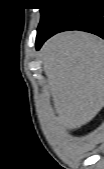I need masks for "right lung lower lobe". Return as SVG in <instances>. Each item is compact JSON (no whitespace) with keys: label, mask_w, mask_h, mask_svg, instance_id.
<instances>
[{"label":"right lung lower lobe","mask_w":104,"mask_h":169,"mask_svg":"<svg viewBox=\"0 0 104 169\" xmlns=\"http://www.w3.org/2000/svg\"><path fill=\"white\" fill-rule=\"evenodd\" d=\"M58 11L38 30L36 48L56 33L81 30L104 38V0H66Z\"/></svg>","instance_id":"right-lung-lower-lobe-1"}]
</instances>
